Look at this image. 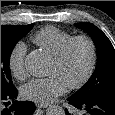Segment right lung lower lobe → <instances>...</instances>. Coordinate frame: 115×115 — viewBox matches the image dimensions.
<instances>
[{
  "label": "right lung lower lobe",
  "instance_id": "98d812e1",
  "mask_svg": "<svg viewBox=\"0 0 115 115\" xmlns=\"http://www.w3.org/2000/svg\"><path fill=\"white\" fill-rule=\"evenodd\" d=\"M17 95L18 91L16 88L1 93V115H31L35 111V105L33 102L15 101ZM10 101H12L13 104L10 107L4 108V105L8 106Z\"/></svg>",
  "mask_w": 115,
  "mask_h": 115
}]
</instances>
